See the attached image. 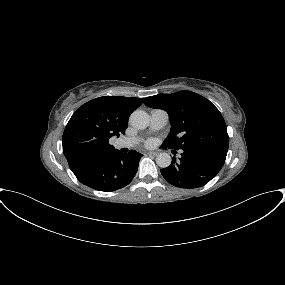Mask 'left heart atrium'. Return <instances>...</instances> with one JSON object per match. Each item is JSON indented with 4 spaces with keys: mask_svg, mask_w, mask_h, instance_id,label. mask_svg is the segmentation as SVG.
<instances>
[{
    "mask_svg": "<svg viewBox=\"0 0 285 285\" xmlns=\"http://www.w3.org/2000/svg\"><path fill=\"white\" fill-rule=\"evenodd\" d=\"M153 144V141L152 140H148L147 142H146V145L147 146H151Z\"/></svg>",
    "mask_w": 285,
    "mask_h": 285,
    "instance_id": "39dd6f15",
    "label": "left heart atrium"
}]
</instances>
